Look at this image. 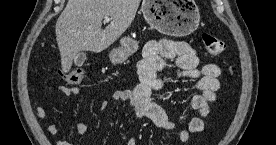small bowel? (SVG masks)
I'll return each mask as SVG.
<instances>
[{
  "instance_id": "1",
  "label": "small bowel",
  "mask_w": 276,
  "mask_h": 145,
  "mask_svg": "<svg viewBox=\"0 0 276 145\" xmlns=\"http://www.w3.org/2000/svg\"><path fill=\"white\" fill-rule=\"evenodd\" d=\"M167 60L174 62L179 76L197 79L198 92L191 98L190 106L198 112L199 116L191 118L187 127L179 132V144H184L191 134L203 131L209 105L215 100L219 89L218 77L220 75V69L216 64L209 63L199 67L195 50L186 42L169 39L149 41L144 47L143 59L137 66L139 83L133 89L113 91L110 99L116 102H129L134 109L136 120L148 118L159 128L174 129L175 123L169 119L164 108L152 97L154 91L163 87L159 73L165 69ZM54 89L64 96H77L81 93L77 87L57 86ZM109 106V100L102 101V110ZM36 116L38 119L45 117V110L40 105L36 107ZM76 130L84 135L88 132V127L85 123L78 122ZM46 131L49 135H55L58 132V125L51 123L46 127ZM56 144L72 145L66 141H58ZM126 145H136L135 138L130 137Z\"/></svg>"
}]
</instances>
